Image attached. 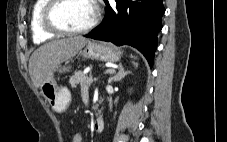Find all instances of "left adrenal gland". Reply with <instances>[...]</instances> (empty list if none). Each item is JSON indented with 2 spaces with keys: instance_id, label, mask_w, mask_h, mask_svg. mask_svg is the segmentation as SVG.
<instances>
[{
  "instance_id": "1",
  "label": "left adrenal gland",
  "mask_w": 227,
  "mask_h": 142,
  "mask_svg": "<svg viewBox=\"0 0 227 142\" xmlns=\"http://www.w3.org/2000/svg\"><path fill=\"white\" fill-rule=\"evenodd\" d=\"M129 73L130 72L125 71L123 65L120 64L119 68H118V72L115 73V75L111 78V80H113L114 82H118V81L122 80L123 78H125V76H127Z\"/></svg>"
}]
</instances>
